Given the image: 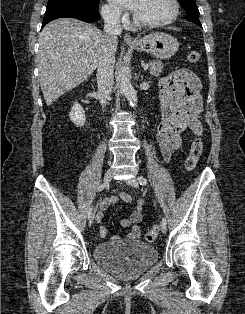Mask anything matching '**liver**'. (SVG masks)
I'll use <instances>...</instances> for the list:
<instances>
[{"label": "liver", "instance_id": "6515ba94", "mask_svg": "<svg viewBox=\"0 0 245 314\" xmlns=\"http://www.w3.org/2000/svg\"><path fill=\"white\" fill-rule=\"evenodd\" d=\"M39 45V81L49 106L87 80L107 49L115 55L118 42L110 45L106 34L92 24L60 18L43 28Z\"/></svg>", "mask_w": 245, "mask_h": 314}]
</instances>
